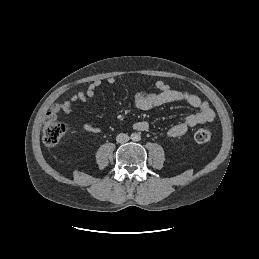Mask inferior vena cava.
Here are the masks:
<instances>
[{"label":"inferior vena cava","instance_id":"602c4592","mask_svg":"<svg viewBox=\"0 0 259 259\" xmlns=\"http://www.w3.org/2000/svg\"><path fill=\"white\" fill-rule=\"evenodd\" d=\"M128 140H129V136H128L127 134H125V133H120V134H118L117 137H116V141H117L118 143H125V142H127Z\"/></svg>","mask_w":259,"mask_h":259}]
</instances>
